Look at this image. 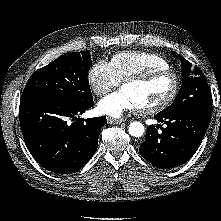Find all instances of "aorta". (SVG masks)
Wrapping results in <instances>:
<instances>
[{
  "label": "aorta",
  "instance_id": "obj_1",
  "mask_svg": "<svg viewBox=\"0 0 221 221\" xmlns=\"http://www.w3.org/2000/svg\"><path fill=\"white\" fill-rule=\"evenodd\" d=\"M129 134L133 137H141L145 132V128L141 122H131L128 126Z\"/></svg>",
  "mask_w": 221,
  "mask_h": 221
}]
</instances>
